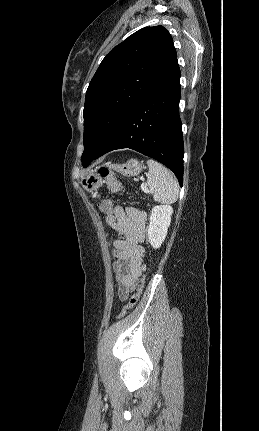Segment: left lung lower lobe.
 I'll return each mask as SVG.
<instances>
[{"mask_svg":"<svg viewBox=\"0 0 259 431\" xmlns=\"http://www.w3.org/2000/svg\"><path fill=\"white\" fill-rule=\"evenodd\" d=\"M180 76L176 59L157 84L123 117L94 159L112 150L130 148L167 166L182 186L184 147L179 117Z\"/></svg>","mask_w":259,"mask_h":431,"instance_id":"left-lung-lower-lobe-1","label":"left lung lower lobe"}]
</instances>
